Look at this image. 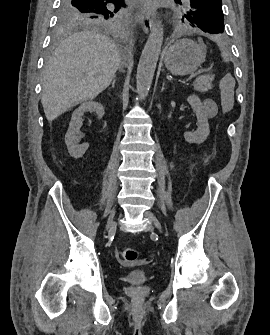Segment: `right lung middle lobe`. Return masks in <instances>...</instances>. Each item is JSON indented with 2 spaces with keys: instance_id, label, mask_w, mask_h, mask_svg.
<instances>
[{
  "instance_id": "right-lung-middle-lobe-1",
  "label": "right lung middle lobe",
  "mask_w": 270,
  "mask_h": 335,
  "mask_svg": "<svg viewBox=\"0 0 270 335\" xmlns=\"http://www.w3.org/2000/svg\"><path fill=\"white\" fill-rule=\"evenodd\" d=\"M119 0H61L58 8L56 34L62 35L80 28H110L122 19Z\"/></svg>"
}]
</instances>
